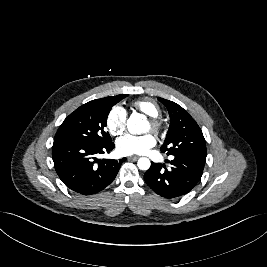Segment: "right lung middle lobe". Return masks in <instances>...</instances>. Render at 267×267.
I'll use <instances>...</instances> for the list:
<instances>
[{
  "label": "right lung middle lobe",
  "mask_w": 267,
  "mask_h": 267,
  "mask_svg": "<svg viewBox=\"0 0 267 267\" xmlns=\"http://www.w3.org/2000/svg\"><path fill=\"white\" fill-rule=\"evenodd\" d=\"M127 94L92 100L71 113L60 125L54 143L69 142L87 145H106L112 142L105 131L111 108Z\"/></svg>",
  "instance_id": "dd1d6c3e"
}]
</instances>
